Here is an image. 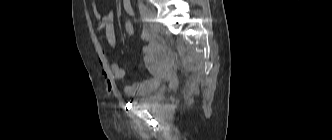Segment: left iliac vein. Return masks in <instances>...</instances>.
Here are the masks:
<instances>
[{
    "label": "left iliac vein",
    "mask_w": 332,
    "mask_h": 140,
    "mask_svg": "<svg viewBox=\"0 0 332 140\" xmlns=\"http://www.w3.org/2000/svg\"><path fill=\"white\" fill-rule=\"evenodd\" d=\"M155 12L153 9L151 8H147V11H146V21L149 23V27L152 31H158L160 26L159 24L156 22V19H155Z\"/></svg>",
    "instance_id": "obj_1"
}]
</instances>
